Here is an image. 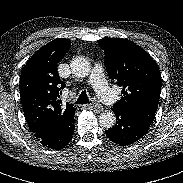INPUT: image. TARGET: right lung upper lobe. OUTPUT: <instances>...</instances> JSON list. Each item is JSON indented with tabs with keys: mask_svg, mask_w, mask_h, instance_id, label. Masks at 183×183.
Wrapping results in <instances>:
<instances>
[{
	"mask_svg": "<svg viewBox=\"0 0 183 183\" xmlns=\"http://www.w3.org/2000/svg\"><path fill=\"white\" fill-rule=\"evenodd\" d=\"M71 46L68 39H55L33 54L24 65L19 82L23 111L30 130H66L74 123L76 107L59 99L66 86L57 63Z\"/></svg>",
	"mask_w": 183,
	"mask_h": 183,
	"instance_id": "obj_1",
	"label": "right lung upper lobe"
}]
</instances>
